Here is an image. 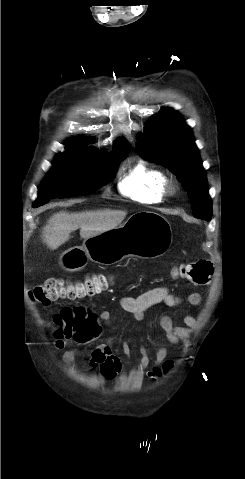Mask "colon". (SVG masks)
<instances>
[{"label": "colon", "mask_w": 245, "mask_h": 479, "mask_svg": "<svg viewBox=\"0 0 245 479\" xmlns=\"http://www.w3.org/2000/svg\"><path fill=\"white\" fill-rule=\"evenodd\" d=\"M212 274L213 264L206 259L185 263L177 268L178 276L197 285L208 284ZM109 282V277L101 273L90 274L84 280L75 283L64 278H49L32 288L29 291V297L35 303L48 305L58 299H75L98 294L108 287ZM91 315L82 306L63 308L54 316V322L58 325L55 337L80 338ZM171 367L172 362L166 361L162 374H166Z\"/></svg>", "instance_id": "obj_1"}]
</instances>
